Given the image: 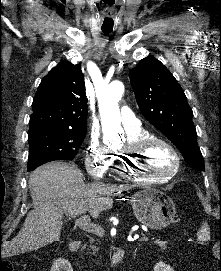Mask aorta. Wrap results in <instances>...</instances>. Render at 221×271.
Instances as JSON below:
<instances>
[{
    "label": "aorta",
    "instance_id": "obj_1",
    "mask_svg": "<svg viewBox=\"0 0 221 271\" xmlns=\"http://www.w3.org/2000/svg\"><path fill=\"white\" fill-rule=\"evenodd\" d=\"M124 93V85L120 81L110 83L99 95V111L104 131L122 133L120 109L118 102Z\"/></svg>",
    "mask_w": 221,
    "mask_h": 271
}]
</instances>
